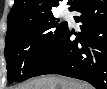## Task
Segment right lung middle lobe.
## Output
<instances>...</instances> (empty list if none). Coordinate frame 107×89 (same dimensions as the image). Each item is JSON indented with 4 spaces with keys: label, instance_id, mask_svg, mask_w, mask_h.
<instances>
[{
    "label": "right lung middle lobe",
    "instance_id": "1",
    "mask_svg": "<svg viewBox=\"0 0 107 89\" xmlns=\"http://www.w3.org/2000/svg\"><path fill=\"white\" fill-rule=\"evenodd\" d=\"M67 27L66 22L60 23L53 16L9 26L4 51L8 81L22 82L33 77Z\"/></svg>",
    "mask_w": 107,
    "mask_h": 89
}]
</instances>
